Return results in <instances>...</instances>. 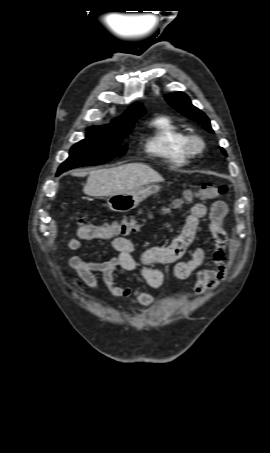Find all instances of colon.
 I'll use <instances>...</instances> for the list:
<instances>
[{
  "label": "colon",
  "instance_id": "1",
  "mask_svg": "<svg viewBox=\"0 0 270 453\" xmlns=\"http://www.w3.org/2000/svg\"><path fill=\"white\" fill-rule=\"evenodd\" d=\"M227 191L226 186L217 184H203L195 191L185 190L180 196L171 201V208L180 207L185 201L194 197L202 200H214L224 195ZM140 224L132 216L124 217L119 221L105 224H88L83 220L78 221V235L83 238L102 237L105 239L118 235H127L138 230Z\"/></svg>",
  "mask_w": 270,
  "mask_h": 453
}]
</instances>
